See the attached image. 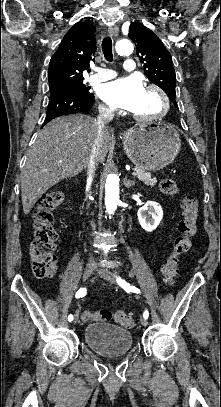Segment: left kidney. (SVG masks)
I'll list each match as a JSON object with an SVG mask.
<instances>
[{
    "instance_id": "obj_1",
    "label": "left kidney",
    "mask_w": 221,
    "mask_h": 407,
    "mask_svg": "<svg viewBox=\"0 0 221 407\" xmlns=\"http://www.w3.org/2000/svg\"><path fill=\"white\" fill-rule=\"evenodd\" d=\"M137 215L141 227L147 232H152L160 224L163 210L157 202L147 201L144 206L139 208Z\"/></svg>"
}]
</instances>
